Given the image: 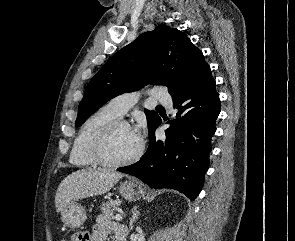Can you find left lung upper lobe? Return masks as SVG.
Wrapping results in <instances>:
<instances>
[{
    "instance_id": "5c2ea615",
    "label": "left lung upper lobe",
    "mask_w": 295,
    "mask_h": 241,
    "mask_svg": "<svg viewBox=\"0 0 295 241\" xmlns=\"http://www.w3.org/2000/svg\"><path fill=\"white\" fill-rule=\"evenodd\" d=\"M211 75L202 52L181 31L167 26L141 34L119 50L90 80L79 104L76 126L107 101L144 85H165L174 97ZM149 134L160 117L145 109Z\"/></svg>"
}]
</instances>
